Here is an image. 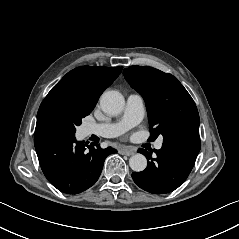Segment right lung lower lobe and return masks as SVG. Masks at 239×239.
<instances>
[{
	"mask_svg": "<svg viewBox=\"0 0 239 239\" xmlns=\"http://www.w3.org/2000/svg\"><path fill=\"white\" fill-rule=\"evenodd\" d=\"M34 145L41 169L48 181L59 191L78 194L98 180L105 158L116 153L111 147H85L76 141L75 133L57 126L35 130Z\"/></svg>",
	"mask_w": 239,
	"mask_h": 239,
	"instance_id": "1",
	"label": "right lung lower lobe"
}]
</instances>
